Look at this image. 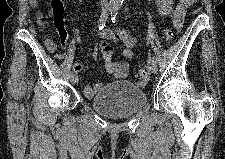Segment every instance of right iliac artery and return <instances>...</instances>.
Wrapping results in <instances>:
<instances>
[{
    "instance_id": "1",
    "label": "right iliac artery",
    "mask_w": 225,
    "mask_h": 159,
    "mask_svg": "<svg viewBox=\"0 0 225 159\" xmlns=\"http://www.w3.org/2000/svg\"><path fill=\"white\" fill-rule=\"evenodd\" d=\"M113 9H114L113 6H107L103 9V11L100 15L99 21H98V25H97L99 30H102L104 28L109 15L112 14V12H113ZM72 74H74V73L70 72V76Z\"/></svg>"
}]
</instances>
